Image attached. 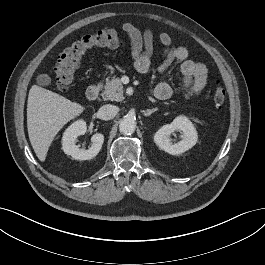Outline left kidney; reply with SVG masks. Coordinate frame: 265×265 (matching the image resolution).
I'll list each match as a JSON object with an SVG mask.
<instances>
[{"mask_svg":"<svg viewBox=\"0 0 265 265\" xmlns=\"http://www.w3.org/2000/svg\"><path fill=\"white\" fill-rule=\"evenodd\" d=\"M181 131V140L173 143L170 135ZM198 140L197 131L192 122L185 116L176 117L171 124L162 126L154 136L156 145L165 152L178 155L192 148Z\"/></svg>","mask_w":265,"mask_h":265,"instance_id":"5707ae66","label":"left kidney"}]
</instances>
